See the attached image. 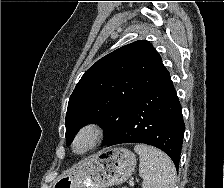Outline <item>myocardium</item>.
<instances>
[{
    "instance_id": "f54148a6",
    "label": "myocardium",
    "mask_w": 224,
    "mask_h": 188,
    "mask_svg": "<svg viewBox=\"0 0 224 188\" xmlns=\"http://www.w3.org/2000/svg\"><path fill=\"white\" fill-rule=\"evenodd\" d=\"M105 135V127L99 122H88L82 125L75 133L71 150L76 155H83L94 149L103 139ZM88 137V143L82 150L76 149L78 140L82 137Z\"/></svg>"
}]
</instances>
